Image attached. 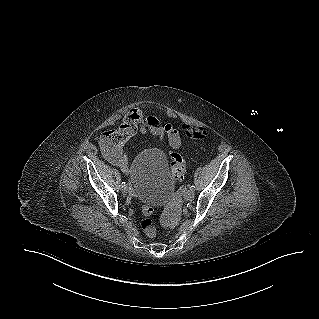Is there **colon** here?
<instances>
[{
	"mask_svg": "<svg viewBox=\"0 0 319 319\" xmlns=\"http://www.w3.org/2000/svg\"><path fill=\"white\" fill-rule=\"evenodd\" d=\"M176 127L182 135H186L189 139H194L201 143H208L211 140V131L206 125L198 127L195 122L179 119L176 122ZM170 166L173 178L175 180H182L186 174V162L183 156L172 152L170 154ZM139 227L147 236L153 237L156 235L157 230L152 207L143 206V216L139 221Z\"/></svg>",
	"mask_w": 319,
	"mask_h": 319,
	"instance_id": "colon-1",
	"label": "colon"
}]
</instances>
